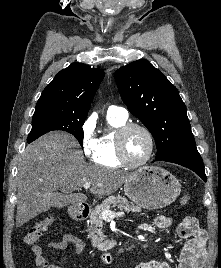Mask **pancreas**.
Here are the masks:
<instances>
[{
    "instance_id": "cf45deb5",
    "label": "pancreas",
    "mask_w": 221,
    "mask_h": 268,
    "mask_svg": "<svg viewBox=\"0 0 221 268\" xmlns=\"http://www.w3.org/2000/svg\"><path fill=\"white\" fill-rule=\"evenodd\" d=\"M118 206L127 212H141V207L130 203L125 197L120 195H112L106 198L98 205L90 214V225L88 226V238H91L92 246L99 250L109 249L110 241L106 240L103 234V218L101 213L105 209H110Z\"/></svg>"
}]
</instances>
